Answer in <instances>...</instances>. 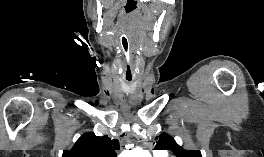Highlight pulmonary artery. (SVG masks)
I'll return each instance as SVG.
<instances>
[{
	"instance_id": "e3ab8cb5",
	"label": "pulmonary artery",
	"mask_w": 264,
	"mask_h": 157,
	"mask_svg": "<svg viewBox=\"0 0 264 157\" xmlns=\"http://www.w3.org/2000/svg\"><path fill=\"white\" fill-rule=\"evenodd\" d=\"M156 155H163V156H164V155H166V152H163V151H157V152H156Z\"/></svg>"
}]
</instances>
